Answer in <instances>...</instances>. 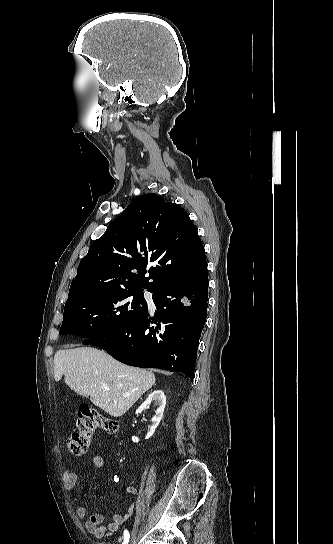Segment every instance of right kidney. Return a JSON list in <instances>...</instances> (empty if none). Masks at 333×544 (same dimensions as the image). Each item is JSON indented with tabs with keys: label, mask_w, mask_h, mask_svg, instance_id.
Returning a JSON list of instances; mask_svg holds the SVG:
<instances>
[{
	"label": "right kidney",
	"mask_w": 333,
	"mask_h": 544,
	"mask_svg": "<svg viewBox=\"0 0 333 544\" xmlns=\"http://www.w3.org/2000/svg\"><path fill=\"white\" fill-rule=\"evenodd\" d=\"M154 403L155 406H157V410L155 411V416L152 418V424L150 425V430L147 433L146 439L150 438L154 432L157 426L159 425L162 417L163 412L166 405V397L164 395V392L162 390H155L153 391L148 398L141 404V406L136 410V414H140L143 410H145L151 403ZM133 442H138V437L133 436L132 437Z\"/></svg>",
	"instance_id": "ca27d5eb"
}]
</instances>
